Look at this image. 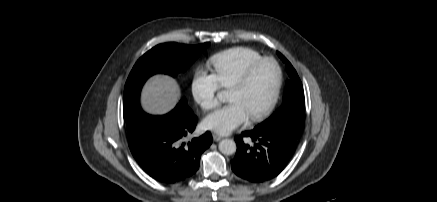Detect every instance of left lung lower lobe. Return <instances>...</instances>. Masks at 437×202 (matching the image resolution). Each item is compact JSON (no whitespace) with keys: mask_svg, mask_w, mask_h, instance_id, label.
Instances as JSON below:
<instances>
[{"mask_svg":"<svg viewBox=\"0 0 437 202\" xmlns=\"http://www.w3.org/2000/svg\"><path fill=\"white\" fill-rule=\"evenodd\" d=\"M249 137L252 144L244 143ZM298 137L281 128H254L236 137L237 151L231 161L233 172L250 182L276 177L292 157Z\"/></svg>","mask_w":437,"mask_h":202,"instance_id":"left-lung-lower-lobe-1","label":"left lung lower lobe"}]
</instances>
